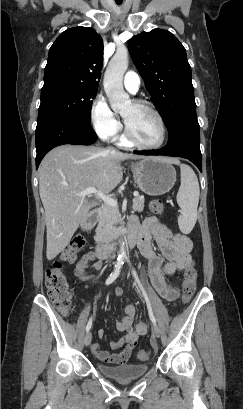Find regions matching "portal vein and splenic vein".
Listing matches in <instances>:
<instances>
[{
  "mask_svg": "<svg viewBox=\"0 0 243 409\" xmlns=\"http://www.w3.org/2000/svg\"><path fill=\"white\" fill-rule=\"evenodd\" d=\"M73 194L75 196L78 197H86L88 195H92L95 194L98 198H100L101 200H103V202L109 206H113L116 207L117 206V201L113 198H111L110 196L104 194L102 191L97 190L95 187H89L84 189L81 192H73ZM134 196H137L138 193L134 192L133 193Z\"/></svg>",
  "mask_w": 243,
  "mask_h": 409,
  "instance_id": "obj_1",
  "label": "portal vein and splenic vein"
}]
</instances>
